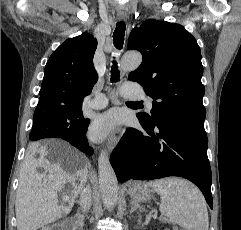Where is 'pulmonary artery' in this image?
I'll list each match as a JSON object with an SVG mask.
<instances>
[{"label":"pulmonary artery","mask_w":241,"mask_h":230,"mask_svg":"<svg viewBox=\"0 0 241 230\" xmlns=\"http://www.w3.org/2000/svg\"><path fill=\"white\" fill-rule=\"evenodd\" d=\"M121 94L130 99V100H145L146 104L149 108L152 107V100L150 98H146L143 92L139 89L137 84L132 83V82H127L122 85L121 88ZM107 98L103 95L100 94L93 98L91 101H89L88 105L90 108L93 109H101L107 106Z\"/></svg>","instance_id":"e3ab8cb5"}]
</instances>
